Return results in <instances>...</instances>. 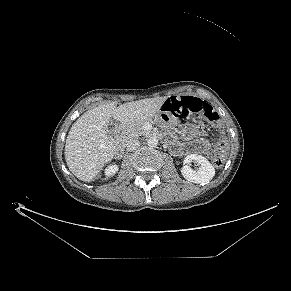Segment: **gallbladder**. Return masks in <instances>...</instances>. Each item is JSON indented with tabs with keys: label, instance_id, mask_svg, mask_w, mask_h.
<instances>
[{
	"label": "gallbladder",
	"instance_id": "bac80fb5",
	"mask_svg": "<svg viewBox=\"0 0 291 291\" xmlns=\"http://www.w3.org/2000/svg\"><path fill=\"white\" fill-rule=\"evenodd\" d=\"M116 128H117V123L113 122L111 120L110 123H109V126H108V134L111 135V136H114Z\"/></svg>",
	"mask_w": 291,
	"mask_h": 291
}]
</instances>
